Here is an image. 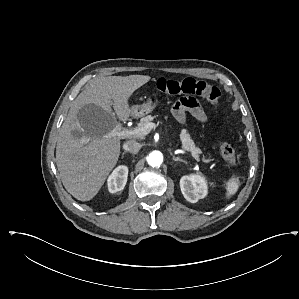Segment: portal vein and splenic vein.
Listing matches in <instances>:
<instances>
[{"mask_svg":"<svg viewBox=\"0 0 299 299\" xmlns=\"http://www.w3.org/2000/svg\"><path fill=\"white\" fill-rule=\"evenodd\" d=\"M158 124L155 123H148L143 128H136L133 130H121V125H116L113 130H111L107 134V138L118 137V138H129V137H137V136H144L148 134L153 128H157ZM192 157L198 161V158L192 155Z\"/></svg>","mask_w":299,"mask_h":299,"instance_id":"obj_1","label":"portal vein and splenic vein"}]
</instances>
